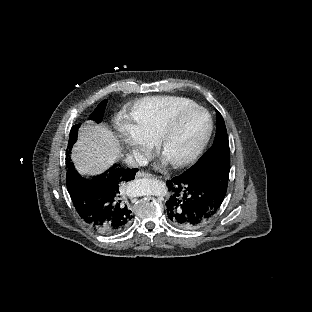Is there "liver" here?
I'll use <instances>...</instances> for the list:
<instances>
[{"label": "liver", "mask_w": 312, "mask_h": 312, "mask_svg": "<svg viewBox=\"0 0 312 312\" xmlns=\"http://www.w3.org/2000/svg\"><path fill=\"white\" fill-rule=\"evenodd\" d=\"M119 140L106 124L91 121L79 129L71 159L82 176H96L108 170L120 157Z\"/></svg>", "instance_id": "liver-1"}]
</instances>
